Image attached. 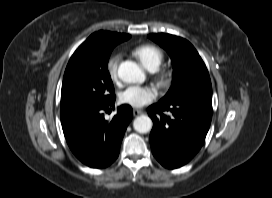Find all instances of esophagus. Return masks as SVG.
<instances>
[{
	"mask_svg": "<svg viewBox=\"0 0 272 198\" xmlns=\"http://www.w3.org/2000/svg\"><path fill=\"white\" fill-rule=\"evenodd\" d=\"M142 113H143V111H142V110H139V109H133V115H134L135 117H137V116L141 115Z\"/></svg>",
	"mask_w": 272,
	"mask_h": 198,
	"instance_id": "34e87169",
	"label": "esophagus"
}]
</instances>
